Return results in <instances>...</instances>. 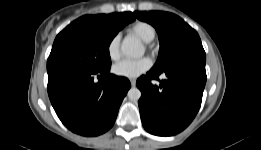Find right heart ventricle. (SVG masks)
<instances>
[{
	"label": "right heart ventricle",
	"instance_id": "1",
	"mask_svg": "<svg viewBox=\"0 0 261 150\" xmlns=\"http://www.w3.org/2000/svg\"><path fill=\"white\" fill-rule=\"evenodd\" d=\"M129 33L136 35L144 42H150L156 35L155 27L146 21H136L128 29Z\"/></svg>",
	"mask_w": 261,
	"mask_h": 150
}]
</instances>
